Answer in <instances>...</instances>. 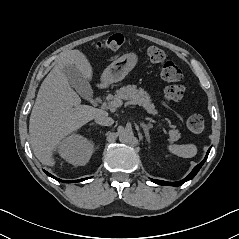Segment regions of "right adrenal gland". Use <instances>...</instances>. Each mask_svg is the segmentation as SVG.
I'll list each match as a JSON object with an SVG mask.
<instances>
[{
  "label": "right adrenal gland",
  "instance_id": "1",
  "mask_svg": "<svg viewBox=\"0 0 239 239\" xmlns=\"http://www.w3.org/2000/svg\"><path fill=\"white\" fill-rule=\"evenodd\" d=\"M90 125H94V126H96V124H95V123H90Z\"/></svg>",
  "mask_w": 239,
  "mask_h": 239
}]
</instances>
